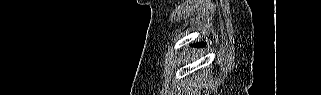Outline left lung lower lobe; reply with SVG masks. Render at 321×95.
Masks as SVG:
<instances>
[{
	"label": "left lung lower lobe",
	"instance_id": "0a47b994",
	"mask_svg": "<svg viewBox=\"0 0 321 95\" xmlns=\"http://www.w3.org/2000/svg\"><path fill=\"white\" fill-rule=\"evenodd\" d=\"M192 46H197V47H200V46H205V43H194Z\"/></svg>",
	"mask_w": 321,
	"mask_h": 95
}]
</instances>
